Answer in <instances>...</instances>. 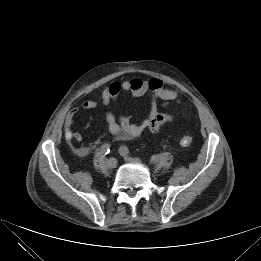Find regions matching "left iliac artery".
I'll return each mask as SVG.
<instances>
[{
    "label": "left iliac artery",
    "mask_w": 261,
    "mask_h": 261,
    "mask_svg": "<svg viewBox=\"0 0 261 261\" xmlns=\"http://www.w3.org/2000/svg\"><path fill=\"white\" fill-rule=\"evenodd\" d=\"M119 151L122 152V153H125V154H130L127 146H121Z\"/></svg>",
    "instance_id": "1"
}]
</instances>
